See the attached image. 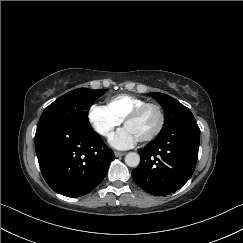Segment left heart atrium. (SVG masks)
Here are the masks:
<instances>
[{
    "mask_svg": "<svg viewBox=\"0 0 243 243\" xmlns=\"http://www.w3.org/2000/svg\"><path fill=\"white\" fill-rule=\"evenodd\" d=\"M137 141L127 127L115 132L109 139V143L113 148L121 150L133 147Z\"/></svg>",
    "mask_w": 243,
    "mask_h": 243,
    "instance_id": "left-heart-atrium-1",
    "label": "left heart atrium"
}]
</instances>
